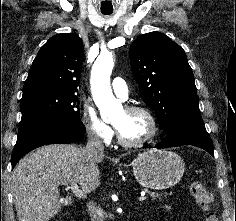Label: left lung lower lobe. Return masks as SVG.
<instances>
[{"label":"left lung lower lobe","mask_w":236,"mask_h":221,"mask_svg":"<svg viewBox=\"0 0 236 221\" xmlns=\"http://www.w3.org/2000/svg\"><path fill=\"white\" fill-rule=\"evenodd\" d=\"M181 145H194L214 156L213 143L205 129L203 120L182 121L174 125L171 129L167 130L165 140L157 148Z\"/></svg>","instance_id":"0a47b994"}]
</instances>
